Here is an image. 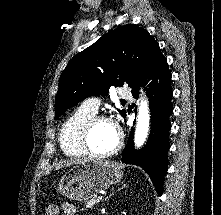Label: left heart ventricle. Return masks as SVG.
<instances>
[{
	"mask_svg": "<svg viewBox=\"0 0 221 215\" xmlns=\"http://www.w3.org/2000/svg\"><path fill=\"white\" fill-rule=\"evenodd\" d=\"M118 133L115 126L109 122H99L95 125L91 136V147L97 152H106L117 142Z\"/></svg>",
	"mask_w": 221,
	"mask_h": 215,
	"instance_id": "obj_1",
	"label": "left heart ventricle"
}]
</instances>
